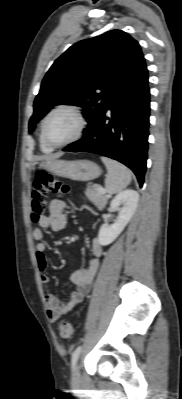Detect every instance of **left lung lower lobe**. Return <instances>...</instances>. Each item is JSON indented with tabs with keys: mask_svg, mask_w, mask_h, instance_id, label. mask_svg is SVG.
Returning <instances> with one entry per match:
<instances>
[{
	"mask_svg": "<svg viewBox=\"0 0 182 399\" xmlns=\"http://www.w3.org/2000/svg\"><path fill=\"white\" fill-rule=\"evenodd\" d=\"M149 98L145 64L116 90L83 138L63 151L91 152L113 158L128 166L142 187L148 150Z\"/></svg>",
	"mask_w": 182,
	"mask_h": 399,
	"instance_id": "0a47b994",
	"label": "left lung lower lobe"
}]
</instances>
